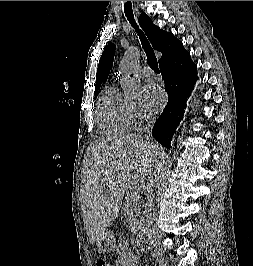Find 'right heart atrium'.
Segmentation results:
<instances>
[{"label":"right heart atrium","mask_w":253,"mask_h":266,"mask_svg":"<svg viewBox=\"0 0 253 266\" xmlns=\"http://www.w3.org/2000/svg\"><path fill=\"white\" fill-rule=\"evenodd\" d=\"M128 109L134 125H140L150 120L152 117V113L149 109L140 102H128Z\"/></svg>","instance_id":"right-heart-atrium-1"}]
</instances>
